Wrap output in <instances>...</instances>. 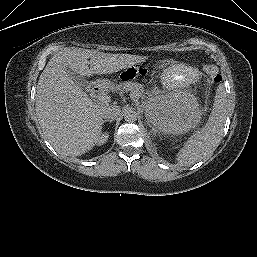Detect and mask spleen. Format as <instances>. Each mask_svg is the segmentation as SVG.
<instances>
[{"label":"spleen","mask_w":257,"mask_h":257,"mask_svg":"<svg viewBox=\"0 0 257 257\" xmlns=\"http://www.w3.org/2000/svg\"><path fill=\"white\" fill-rule=\"evenodd\" d=\"M227 115L226 93L219 86L206 124L195 131L177 153V161L181 166L193 165L214 152L221 141Z\"/></svg>","instance_id":"spleen-1"}]
</instances>
